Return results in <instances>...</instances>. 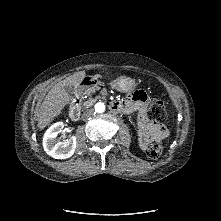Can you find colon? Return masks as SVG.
Segmentation results:
<instances>
[{
  "label": "colon",
  "mask_w": 221,
  "mask_h": 221,
  "mask_svg": "<svg viewBox=\"0 0 221 221\" xmlns=\"http://www.w3.org/2000/svg\"><path fill=\"white\" fill-rule=\"evenodd\" d=\"M148 115L151 119L164 121L167 117L164 103L161 100H152L149 106ZM162 150L163 147L160 143H154L147 149V155L150 158H158Z\"/></svg>",
  "instance_id": "obj_1"
}]
</instances>
